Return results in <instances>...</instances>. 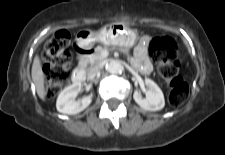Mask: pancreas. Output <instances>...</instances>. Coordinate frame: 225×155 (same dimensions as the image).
Listing matches in <instances>:
<instances>
[{
	"mask_svg": "<svg viewBox=\"0 0 225 155\" xmlns=\"http://www.w3.org/2000/svg\"><path fill=\"white\" fill-rule=\"evenodd\" d=\"M108 49H112V48H108L107 46H104V47L97 46L91 55L84 56L81 58V60L79 62V66L85 68L89 64L94 65V64L104 61L105 57H103L101 53L103 50H108ZM121 51L126 54H129V48H121Z\"/></svg>",
	"mask_w": 225,
	"mask_h": 155,
	"instance_id": "1",
	"label": "pancreas"
}]
</instances>
